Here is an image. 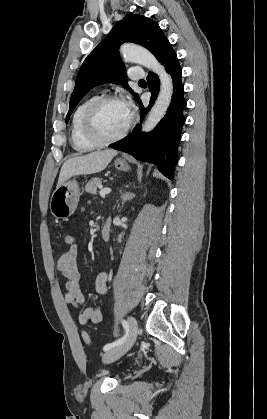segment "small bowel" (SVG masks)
Listing matches in <instances>:
<instances>
[{"instance_id": "c3829d8e", "label": "small bowel", "mask_w": 267, "mask_h": 419, "mask_svg": "<svg viewBox=\"0 0 267 419\" xmlns=\"http://www.w3.org/2000/svg\"><path fill=\"white\" fill-rule=\"evenodd\" d=\"M78 247L76 243L67 248L56 263V271L67 279L64 301L67 306L81 310L78 321L82 325L100 323L103 313L99 308L86 307L85 297L80 288V273L77 264ZM108 274L101 272L95 279L97 293L105 294L108 290Z\"/></svg>"}]
</instances>
